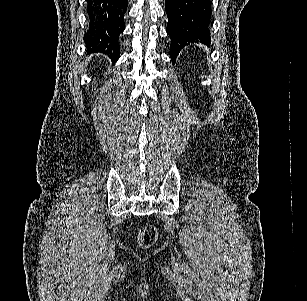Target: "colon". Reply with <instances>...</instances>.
Listing matches in <instances>:
<instances>
[{
	"mask_svg": "<svg viewBox=\"0 0 307 301\" xmlns=\"http://www.w3.org/2000/svg\"><path fill=\"white\" fill-rule=\"evenodd\" d=\"M158 232L155 226L145 225L139 232L138 242L143 248L151 247L157 240Z\"/></svg>",
	"mask_w": 307,
	"mask_h": 301,
	"instance_id": "1",
	"label": "colon"
}]
</instances>
